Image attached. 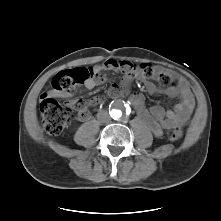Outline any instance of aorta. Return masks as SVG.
I'll return each instance as SVG.
<instances>
[{"instance_id":"1","label":"aorta","mask_w":221,"mask_h":221,"mask_svg":"<svg viewBox=\"0 0 221 221\" xmlns=\"http://www.w3.org/2000/svg\"><path fill=\"white\" fill-rule=\"evenodd\" d=\"M122 113H123V109L122 108L113 109L111 111L112 117L114 119H119L122 116Z\"/></svg>"}]
</instances>
